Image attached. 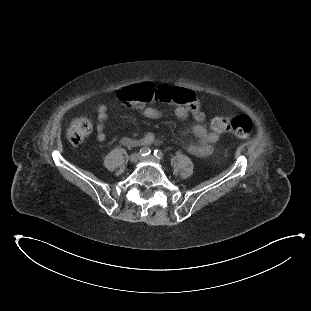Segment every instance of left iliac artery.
<instances>
[{"mask_svg": "<svg viewBox=\"0 0 311 311\" xmlns=\"http://www.w3.org/2000/svg\"><path fill=\"white\" fill-rule=\"evenodd\" d=\"M154 156H155L157 159H159V160H162L163 157H164L162 151H161V150H158V149H157V150H154Z\"/></svg>", "mask_w": 311, "mask_h": 311, "instance_id": "obj_1", "label": "left iliac artery"}]
</instances>
